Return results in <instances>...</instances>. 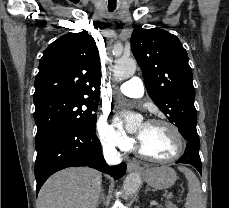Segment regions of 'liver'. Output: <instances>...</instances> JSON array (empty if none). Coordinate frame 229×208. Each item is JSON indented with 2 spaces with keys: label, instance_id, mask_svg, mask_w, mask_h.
<instances>
[{
  "label": "liver",
  "instance_id": "1",
  "mask_svg": "<svg viewBox=\"0 0 229 208\" xmlns=\"http://www.w3.org/2000/svg\"><path fill=\"white\" fill-rule=\"evenodd\" d=\"M101 188L100 172L91 168H67L45 182L36 208H97Z\"/></svg>",
  "mask_w": 229,
  "mask_h": 208
}]
</instances>
